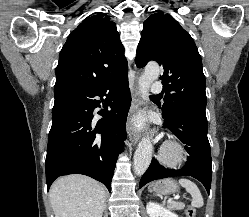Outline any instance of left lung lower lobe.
<instances>
[{
  "mask_svg": "<svg viewBox=\"0 0 249 217\" xmlns=\"http://www.w3.org/2000/svg\"><path fill=\"white\" fill-rule=\"evenodd\" d=\"M164 127L171 130L186 146L189 154L185 166L180 170H170L161 166L153 158L141 178L139 187L162 178L173 176H192L199 180L209 193L211 187L212 166L210 144L207 138V118L205 110L195 107H177L168 118H164Z\"/></svg>",
  "mask_w": 249,
  "mask_h": 217,
  "instance_id": "left-lung-lower-lobe-1",
  "label": "left lung lower lobe"
}]
</instances>
